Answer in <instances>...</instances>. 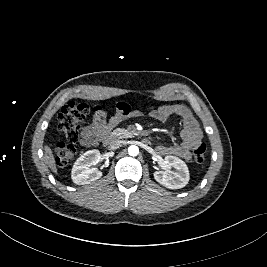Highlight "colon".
<instances>
[{
    "instance_id": "colon-1",
    "label": "colon",
    "mask_w": 267,
    "mask_h": 267,
    "mask_svg": "<svg viewBox=\"0 0 267 267\" xmlns=\"http://www.w3.org/2000/svg\"><path fill=\"white\" fill-rule=\"evenodd\" d=\"M90 107L85 103L70 101L65 104L59 114V129L67 142H59L56 146V163L63 167L70 164L77 156L76 143L81 138V124L87 117ZM206 146L200 143L193 150L196 163H203Z\"/></svg>"
}]
</instances>
